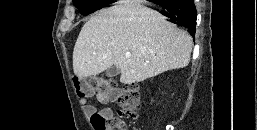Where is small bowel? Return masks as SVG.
<instances>
[{
  "instance_id": "obj_1",
  "label": "small bowel",
  "mask_w": 257,
  "mask_h": 130,
  "mask_svg": "<svg viewBox=\"0 0 257 130\" xmlns=\"http://www.w3.org/2000/svg\"><path fill=\"white\" fill-rule=\"evenodd\" d=\"M97 98L100 101H106V100H110L111 99L108 96H105V95L99 94V93L97 94ZM80 103L85 108L86 114L91 115V114L96 112V108L89 104L88 97L81 98L80 99ZM101 113L112 114V111L109 108H106V109H103L101 111Z\"/></svg>"
}]
</instances>
